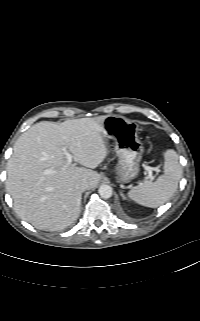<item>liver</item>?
Returning <instances> with one entry per match:
<instances>
[{
	"label": "liver",
	"instance_id": "obj_1",
	"mask_svg": "<svg viewBox=\"0 0 200 321\" xmlns=\"http://www.w3.org/2000/svg\"><path fill=\"white\" fill-rule=\"evenodd\" d=\"M105 116L42 121L16 141L7 163L6 188L20 218L41 230H62L77 220L86 180L94 188L99 174L92 170L108 155L104 140ZM84 167L67 164L63 148ZM46 169L54 171L44 174Z\"/></svg>",
	"mask_w": 200,
	"mask_h": 321
}]
</instances>
